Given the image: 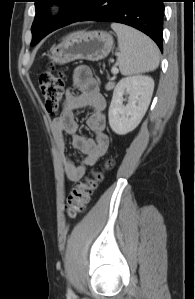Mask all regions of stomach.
Returning <instances> with one entry per match:
<instances>
[{
	"label": "stomach",
	"mask_w": 195,
	"mask_h": 299,
	"mask_svg": "<svg viewBox=\"0 0 195 299\" xmlns=\"http://www.w3.org/2000/svg\"><path fill=\"white\" fill-rule=\"evenodd\" d=\"M113 37L106 31H79L65 37L53 47L48 56L53 63L66 64L71 61L85 59L99 61L110 53Z\"/></svg>",
	"instance_id": "stomach-1"
}]
</instances>
